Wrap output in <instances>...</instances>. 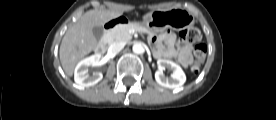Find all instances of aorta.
Here are the masks:
<instances>
[{
  "label": "aorta",
  "mask_w": 276,
  "mask_h": 120,
  "mask_svg": "<svg viewBox=\"0 0 276 120\" xmlns=\"http://www.w3.org/2000/svg\"><path fill=\"white\" fill-rule=\"evenodd\" d=\"M132 50L136 54H141L144 52V47L141 43H135L132 47Z\"/></svg>",
  "instance_id": "aorta-1"
}]
</instances>
